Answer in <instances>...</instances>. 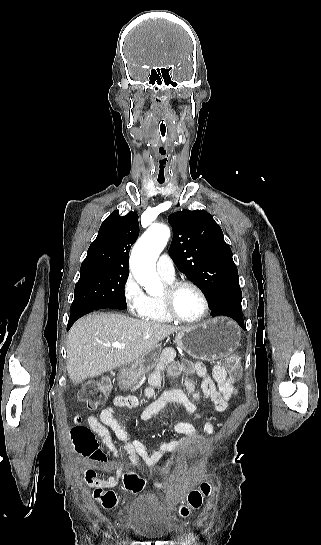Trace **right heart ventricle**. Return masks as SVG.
Listing matches in <instances>:
<instances>
[{
  "mask_svg": "<svg viewBox=\"0 0 321 545\" xmlns=\"http://www.w3.org/2000/svg\"><path fill=\"white\" fill-rule=\"evenodd\" d=\"M164 280L167 283L173 282V280H168V279H164ZM142 320L152 324L167 323L170 321V319L162 310L159 301H155L152 299H149V305L144 316L142 317Z\"/></svg>",
  "mask_w": 321,
  "mask_h": 545,
  "instance_id": "e07e8e85",
  "label": "right heart ventricle"
}]
</instances>
